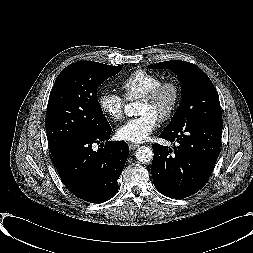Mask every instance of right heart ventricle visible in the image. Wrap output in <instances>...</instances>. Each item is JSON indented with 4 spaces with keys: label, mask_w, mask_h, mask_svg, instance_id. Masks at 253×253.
I'll return each mask as SVG.
<instances>
[{
    "label": "right heart ventricle",
    "mask_w": 253,
    "mask_h": 253,
    "mask_svg": "<svg viewBox=\"0 0 253 253\" xmlns=\"http://www.w3.org/2000/svg\"><path fill=\"white\" fill-rule=\"evenodd\" d=\"M163 81L160 75L145 70H136L121 82V89L127 100H136L147 94L152 88Z\"/></svg>",
    "instance_id": "1"
}]
</instances>
